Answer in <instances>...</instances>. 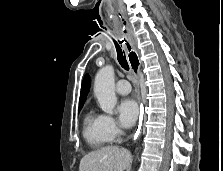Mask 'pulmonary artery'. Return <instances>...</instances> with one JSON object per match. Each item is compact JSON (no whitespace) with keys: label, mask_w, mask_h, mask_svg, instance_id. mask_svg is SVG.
<instances>
[{"label":"pulmonary artery","mask_w":223,"mask_h":171,"mask_svg":"<svg viewBox=\"0 0 223 171\" xmlns=\"http://www.w3.org/2000/svg\"><path fill=\"white\" fill-rule=\"evenodd\" d=\"M115 89L118 94L127 95L131 91V86L127 80L121 79L117 82Z\"/></svg>","instance_id":"pulmonary-artery-1"}]
</instances>
